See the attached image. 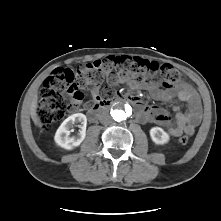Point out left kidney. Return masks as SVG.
<instances>
[{"instance_id": "obj_1", "label": "left kidney", "mask_w": 221, "mask_h": 221, "mask_svg": "<svg viewBox=\"0 0 221 221\" xmlns=\"http://www.w3.org/2000/svg\"><path fill=\"white\" fill-rule=\"evenodd\" d=\"M150 137L156 144H165L169 141V135L160 127L150 129Z\"/></svg>"}]
</instances>
